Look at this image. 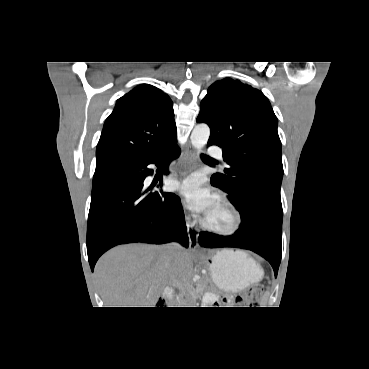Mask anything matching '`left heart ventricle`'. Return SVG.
Segmentation results:
<instances>
[{"mask_svg": "<svg viewBox=\"0 0 369 369\" xmlns=\"http://www.w3.org/2000/svg\"><path fill=\"white\" fill-rule=\"evenodd\" d=\"M205 219L212 225L217 227H227L230 224V215L217 202L205 214Z\"/></svg>", "mask_w": 369, "mask_h": 369, "instance_id": "obj_1", "label": "left heart ventricle"}]
</instances>
